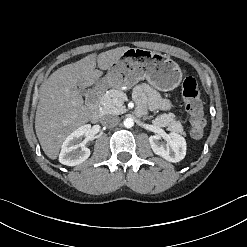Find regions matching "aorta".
I'll use <instances>...</instances> for the list:
<instances>
[{
	"label": "aorta",
	"mask_w": 247,
	"mask_h": 247,
	"mask_svg": "<svg viewBox=\"0 0 247 247\" xmlns=\"http://www.w3.org/2000/svg\"><path fill=\"white\" fill-rule=\"evenodd\" d=\"M123 124L126 128H131L134 125V120L132 118H126Z\"/></svg>",
	"instance_id": "762f6f07"
}]
</instances>
